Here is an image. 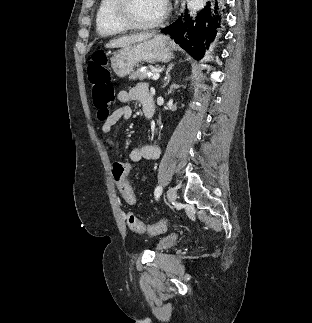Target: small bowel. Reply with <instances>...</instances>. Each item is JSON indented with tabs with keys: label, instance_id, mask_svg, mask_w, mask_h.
Instances as JSON below:
<instances>
[{
	"label": "small bowel",
	"instance_id": "c3829d8e",
	"mask_svg": "<svg viewBox=\"0 0 312 323\" xmlns=\"http://www.w3.org/2000/svg\"><path fill=\"white\" fill-rule=\"evenodd\" d=\"M149 91V87L146 83H137L128 90H120L117 94V99L120 103L127 104L130 102H141L146 92ZM133 116V109L124 105L114 110L105 120L101 127L102 131V143L110 151V155L114 157L113 141L110 138V133L115 125L120 122L128 121ZM160 156V150L154 145H141L133 148L130 151V161L133 163L140 162L142 160L155 161ZM123 164V163H120ZM116 184V183H115Z\"/></svg>",
	"mask_w": 312,
	"mask_h": 323
}]
</instances>
